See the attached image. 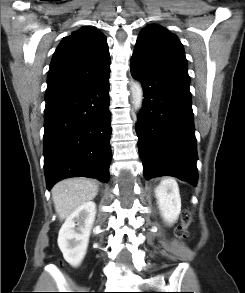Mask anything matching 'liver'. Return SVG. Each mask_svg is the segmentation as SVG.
Segmentation results:
<instances>
[{
  "instance_id": "liver-1",
  "label": "liver",
  "mask_w": 245,
  "mask_h": 293,
  "mask_svg": "<svg viewBox=\"0 0 245 293\" xmlns=\"http://www.w3.org/2000/svg\"><path fill=\"white\" fill-rule=\"evenodd\" d=\"M98 186L85 178H70L58 182L52 188L55 211L62 221L82 204L95 198Z\"/></svg>"
}]
</instances>
